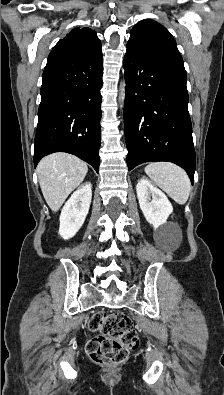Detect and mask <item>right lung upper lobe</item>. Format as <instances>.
<instances>
[{
    "label": "right lung upper lobe",
    "instance_id": "cb5924a9",
    "mask_svg": "<svg viewBox=\"0 0 224 395\" xmlns=\"http://www.w3.org/2000/svg\"><path fill=\"white\" fill-rule=\"evenodd\" d=\"M63 39L73 41L78 50L89 56H96L102 53L100 40L96 33L89 28H75Z\"/></svg>",
    "mask_w": 224,
    "mask_h": 395
}]
</instances>
